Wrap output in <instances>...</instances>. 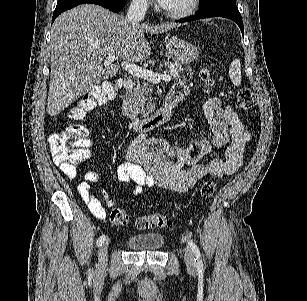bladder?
Masks as SVG:
<instances>
[{
  "label": "bladder",
  "mask_w": 307,
  "mask_h": 301,
  "mask_svg": "<svg viewBox=\"0 0 307 301\" xmlns=\"http://www.w3.org/2000/svg\"><path fill=\"white\" fill-rule=\"evenodd\" d=\"M130 251H158L164 244L161 234L131 235L126 242Z\"/></svg>",
  "instance_id": "31cf9c89"
}]
</instances>
